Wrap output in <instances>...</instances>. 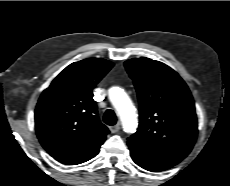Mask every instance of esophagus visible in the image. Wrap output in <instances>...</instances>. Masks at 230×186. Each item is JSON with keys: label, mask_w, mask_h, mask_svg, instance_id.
Segmentation results:
<instances>
[{"label": "esophagus", "mask_w": 230, "mask_h": 186, "mask_svg": "<svg viewBox=\"0 0 230 186\" xmlns=\"http://www.w3.org/2000/svg\"><path fill=\"white\" fill-rule=\"evenodd\" d=\"M111 133H117L120 130V124H116L114 126H111L110 128Z\"/></svg>", "instance_id": "obj_1"}]
</instances>
